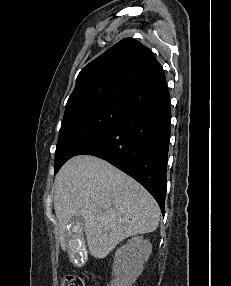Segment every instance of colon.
I'll list each match as a JSON object with an SVG mask.
<instances>
[{"mask_svg": "<svg viewBox=\"0 0 231 286\" xmlns=\"http://www.w3.org/2000/svg\"><path fill=\"white\" fill-rule=\"evenodd\" d=\"M61 286H85V283L80 276L71 274L63 278Z\"/></svg>", "mask_w": 231, "mask_h": 286, "instance_id": "1", "label": "colon"}]
</instances>
